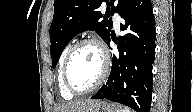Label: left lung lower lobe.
<instances>
[{"label": "left lung lower lobe", "instance_id": "0a47b994", "mask_svg": "<svg viewBox=\"0 0 193 112\" xmlns=\"http://www.w3.org/2000/svg\"><path fill=\"white\" fill-rule=\"evenodd\" d=\"M120 16L126 31L118 39L107 82L92 96L127 105L136 112H149L153 87L155 24L151 0H132ZM112 36L107 40L109 45Z\"/></svg>", "mask_w": 193, "mask_h": 112}]
</instances>
